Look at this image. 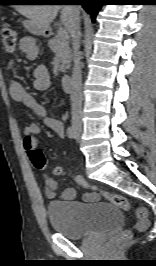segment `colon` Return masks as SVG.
I'll return each instance as SVG.
<instances>
[{"label":"colon","mask_w":156,"mask_h":266,"mask_svg":"<svg viewBox=\"0 0 156 266\" xmlns=\"http://www.w3.org/2000/svg\"><path fill=\"white\" fill-rule=\"evenodd\" d=\"M1 39L3 47L7 52H13L15 50L17 43V33L12 26L8 24L4 25L1 31ZM28 155L33 166L36 169L44 170L47 168L45 157L39 149L32 150L31 152H29ZM50 171L54 175L71 177L78 185L90 189L93 193L101 194L111 204L124 211H128L131 208L130 202L126 197L119 194L98 190L96 187L91 186L87 181H85L79 175L69 174L61 167L51 168ZM135 215H136L135 229L138 231L146 230L149 226L147 210L144 207H138L135 211ZM131 235H132L131 231L129 230L123 231L121 234H119L118 236H116L111 240L110 245L115 246L121 242L127 241L131 238Z\"/></svg>","instance_id":"colon-1"}]
</instances>
